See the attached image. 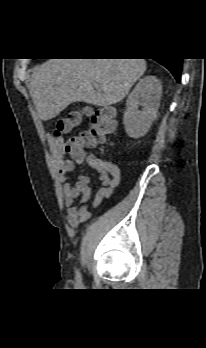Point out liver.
Wrapping results in <instances>:
<instances>
[{
	"label": "liver",
	"instance_id": "obj_1",
	"mask_svg": "<svg viewBox=\"0 0 206 348\" xmlns=\"http://www.w3.org/2000/svg\"><path fill=\"white\" fill-rule=\"evenodd\" d=\"M145 71V59H49L33 70L30 93L47 121L74 102H120Z\"/></svg>",
	"mask_w": 206,
	"mask_h": 348
}]
</instances>
